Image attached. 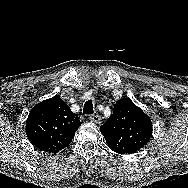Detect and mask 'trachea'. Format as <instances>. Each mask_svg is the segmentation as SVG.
Listing matches in <instances>:
<instances>
[{
    "mask_svg": "<svg viewBox=\"0 0 188 188\" xmlns=\"http://www.w3.org/2000/svg\"><path fill=\"white\" fill-rule=\"evenodd\" d=\"M83 113L87 115H91L94 113V106L92 100H88L85 102L83 107Z\"/></svg>",
    "mask_w": 188,
    "mask_h": 188,
    "instance_id": "3493384b",
    "label": "trachea"
}]
</instances>
